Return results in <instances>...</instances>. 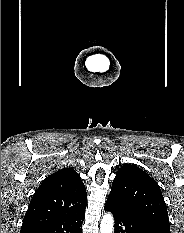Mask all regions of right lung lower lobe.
Here are the masks:
<instances>
[{"mask_svg": "<svg viewBox=\"0 0 184 233\" xmlns=\"http://www.w3.org/2000/svg\"><path fill=\"white\" fill-rule=\"evenodd\" d=\"M85 214L66 221L54 222L26 233H82V223Z\"/></svg>", "mask_w": 184, "mask_h": 233, "instance_id": "obj_1", "label": "right lung lower lobe"}]
</instances>
